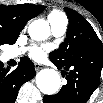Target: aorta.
<instances>
[{"label":"aorta","mask_w":103,"mask_h":103,"mask_svg":"<svg viewBox=\"0 0 103 103\" xmlns=\"http://www.w3.org/2000/svg\"><path fill=\"white\" fill-rule=\"evenodd\" d=\"M28 33L34 40H45L50 33L49 24L43 19H37L29 25ZM60 84V75L53 69H43L36 75V85L43 94L53 95L57 93Z\"/></svg>","instance_id":"762f6f07"}]
</instances>
